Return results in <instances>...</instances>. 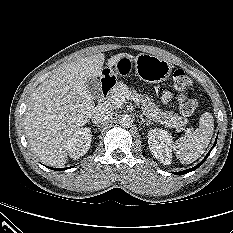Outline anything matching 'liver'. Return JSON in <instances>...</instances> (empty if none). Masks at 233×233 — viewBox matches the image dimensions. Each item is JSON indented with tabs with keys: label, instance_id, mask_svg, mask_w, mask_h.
<instances>
[{
	"label": "liver",
	"instance_id": "1",
	"mask_svg": "<svg viewBox=\"0 0 233 233\" xmlns=\"http://www.w3.org/2000/svg\"><path fill=\"white\" fill-rule=\"evenodd\" d=\"M120 53L108 59L116 65ZM103 53L64 64L40 84L30 96L24 114V128L31 151L44 164L62 166L67 162V142L84 126L95 110L94 96L86 85L90 77L102 75Z\"/></svg>",
	"mask_w": 233,
	"mask_h": 233
}]
</instances>
